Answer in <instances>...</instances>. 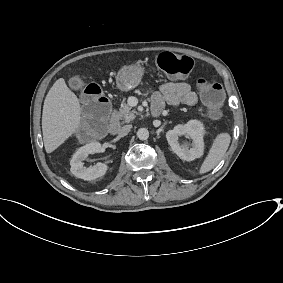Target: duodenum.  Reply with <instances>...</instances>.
I'll return each instance as SVG.
<instances>
[{"mask_svg": "<svg viewBox=\"0 0 283 283\" xmlns=\"http://www.w3.org/2000/svg\"><path fill=\"white\" fill-rule=\"evenodd\" d=\"M106 107V106H105ZM107 111H108V108L106 107ZM162 112V107L157 105V104H153L151 106V114L152 116L154 117H158ZM120 130V124L118 122V120L116 118H113L110 123H109V126H108V132L111 133V134H116L118 133V131Z\"/></svg>", "mask_w": 283, "mask_h": 283, "instance_id": "1", "label": "duodenum"}]
</instances>
